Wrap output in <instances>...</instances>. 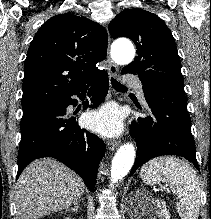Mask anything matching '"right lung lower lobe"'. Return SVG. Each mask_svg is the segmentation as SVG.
<instances>
[{
	"mask_svg": "<svg viewBox=\"0 0 211 219\" xmlns=\"http://www.w3.org/2000/svg\"><path fill=\"white\" fill-rule=\"evenodd\" d=\"M88 87L93 105L87 101L84 109L97 107L104 101L109 89L106 71L69 94L23 114L17 177L31 161L54 157L80 175L89 190L94 191L98 165L105 155L104 142L81 129L74 117L66 115V108L77 104L71 96L84 98Z\"/></svg>",
	"mask_w": 211,
	"mask_h": 219,
	"instance_id": "1",
	"label": "right lung lower lobe"
}]
</instances>
